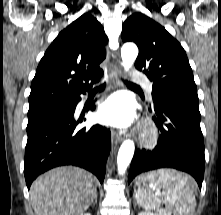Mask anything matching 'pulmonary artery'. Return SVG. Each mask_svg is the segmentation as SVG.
Wrapping results in <instances>:
<instances>
[{"instance_id": "pulmonary-artery-1", "label": "pulmonary artery", "mask_w": 221, "mask_h": 215, "mask_svg": "<svg viewBox=\"0 0 221 215\" xmlns=\"http://www.w3.org/2000/svg\"><path fill=\"white\" fill-rule=\"evenodd\" d=\"M132 79L134 82L144 85L149 93L152 92V84L145 76L141 75L140 73L134 72L132 74Z\"/></svg>"}]
</instances>
